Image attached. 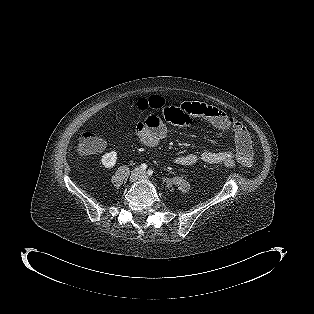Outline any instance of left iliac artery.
<instances>
[{
  "label": "left iliac artery",
  "mask_w": 314,
  "mask_h": 314,
  "mask_svg": "<svg viewBox=\"0 0 314 314\" xmlns=\"http://www.w3.org/2000/svg\"><path fill=\"white\" fill-rule=\"evenodd\" d=\"M147 173L149 176H151L153 174V171L151 169H149Z\"/></svg>",
  "instance_id": "1"
}]
</instances>
